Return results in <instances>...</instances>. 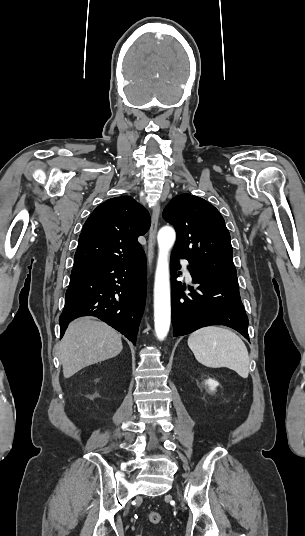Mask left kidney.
<instances>
[{"label": "left kidney", "instance_id": "5707ae66", "mask_svg": "<svg viewBox=\"0 0 305 536\" xmlns=\"http://www.w3.org/2000/svg\"><path fill=\"white\" fill-rule=\"evenodd\" d=\"M205 384L209 386L210 390H215V388L219 386V382H216V380H211V378H209V380H206Z\"/></svg>", "mask_w": 305, "mask_h": 536}]
</instances>
